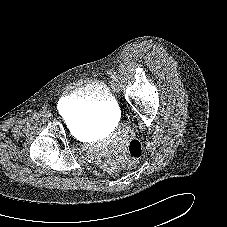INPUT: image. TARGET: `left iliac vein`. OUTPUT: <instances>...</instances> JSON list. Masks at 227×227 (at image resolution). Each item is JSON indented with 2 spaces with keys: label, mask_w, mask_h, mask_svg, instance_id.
Wrapping results in <instances>:
<instances>
[{
  "label": "left iliac vein",
  "mask_w": 227,
  "mask_h": 227,
  "mask_svg": "<svg viewBox=\"0 0 227 227\" xmlns=\"http://www.w3.org/2000/svg\"><path fill=\"white\" fill-rule=\"evenodd\" d=\"M111 84H112V86H113V88H114V89H116V90H117V89L119 88V87H118V83H117V82L112 81V83H111Z\"/></svg>",
  "instance_id": "left-iliac-vein-1"
}]
</instances>
